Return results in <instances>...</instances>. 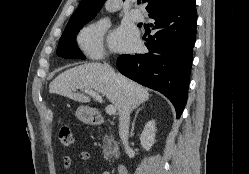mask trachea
Here are the masks:
<instances>
[{"instance_id": "obj_1", "label": "trachea", "mask_w": 249, "mask_h": 174, "mask_svg": "<svg viewBox=\"0 0 249 174\" xmlns=\"http://www.w3.org/2000/svg\"><path fill=\"white\" fill-rule=\"evenodd\" d=\"M137 3H138V4H140V3H141V1H140V0H138V1H137Z\"/></svg>"}]
</instances>
